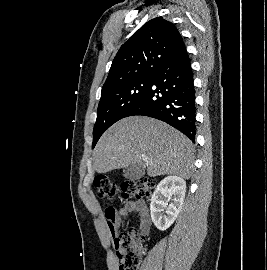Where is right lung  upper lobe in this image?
<instances>
[{"label":"right lung upper lobe","mask_w":267,"mask_h":270,"mask_svg":"<svg viewBox=\"0 0 267 270\" xmlns=\"http://www.w3.org/2000/svg\"><path fill=\"white\" fill-rule=\"evenodd\" d=\"M183 44L175 25L162 17L145 23L117 52L102 91L129 80L152 77Z\"/></svg>","instance_id":"obj_1"}]
</instances>
